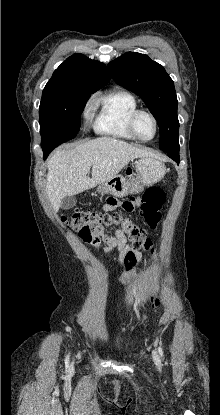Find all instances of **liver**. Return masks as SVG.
<instances>
[{
    "instance_id": "1",
    "label": "liver",
    "mask_w": 220,
    "mask_h": 415,
    "mask_svg": "<svg viewBox=\"0 0 220 415\" xmlns=\"http://www.w3.org/2000/svg\"><path fill=\"white\" fill-rule=\"evenodd\" d=\"M152 156L145 149L111 137H99L70 150L59 149L47 162L46 194L57 211L64 197L82 193L112 179L132 159Z\"/></svg>"
}]
</instances>
